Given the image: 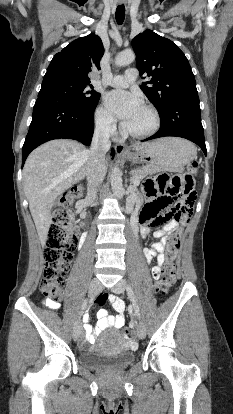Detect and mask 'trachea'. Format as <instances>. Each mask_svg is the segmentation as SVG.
Masks as SVG:
<instances>
[{"instance_id": "trachea-1", "label": "trachea", "mask_w": 233, "mask_h": 414, "mask_svg": "<svg viewBox=\"0 0 233 414\" xmlns=\"http://www.w3.org/2000/svg\"><path fill=\"white\" fill-rule=\"evenodd\" d=\"M115 16H116L117 23L119 25H121L123 23V21H124V18H125V7H124L123 4L122 5H119L117 7Z\"/></svg>"}]
</instances>
